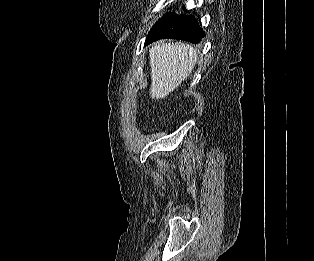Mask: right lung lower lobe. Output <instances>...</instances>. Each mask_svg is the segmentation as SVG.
<instances>
[{
	"instance_id": "right-lung-lower-lobe-1",
	"label": "right lung lower lobe",
	"mask_w": 314,
	"mask_h": 261,
	"mask_svg": "<svg viewBox=\"0 0 314 261\" xmlns=\"http://www.w3.org/2000/svg\"><path fill=\"white\" fill-rule=\"evenodd\" d=\"M205 36L195 17L192 15H164L149 32L145 45L163 38L186 40L199 43Z\"/></svg>"
}]
</instances>
